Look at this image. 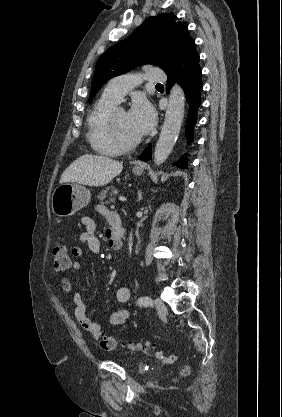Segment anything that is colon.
Instances as JSON below:
<instances>
[{"label":"colon","mask_w":282,"mask_h":417,"mask_svg":"<svg viewBox=\"0 0 282 417\" xmlns=\"http://www.w3.org/2000/svg\"><path fill=\"white\" fill-rule=\"evenodd\" d=\"M52 260L54 263V268L58 272H69L73 269L74 264L72 263L67 249L63 244H56L52 249ZM132 349L136 351L143 352L148 356L156 358L164 365H170L175 360L173 355L164 356L161 352H158L151 346L149 343L137 342L132 344ZM102 350L104 353H113L115 350V340L114 339H103L102 340ZM190 370L189 365H184L179 372V377L184 376Z\"/></svg>","instance_id":"5ec220e1"}]
</instances>
